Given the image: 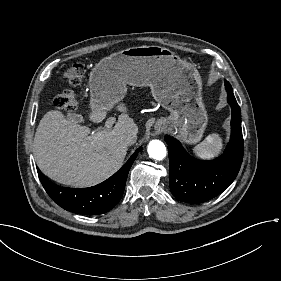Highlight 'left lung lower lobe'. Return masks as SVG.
Segmentation results:
<instances>
[{
  "label": "left lung lower lobe",
  "mask_w": 281,
  "mask_h": 281,
  "mask_svg": "<svg viewBox=\"0 0 281 281\" xmlns=\"http://www.w3.org/2000/svg\"><path fill=\"white\" fill-rule=\"evenodd\" d=\"M231 106V139L223 155L202 161L190 156L175 138L168 144L170 189L175 198L187 203H203L223 192L236 178L243 159L240 107L233 92H228Z\"/></svg>",
  "instance_id": "obj_1"
}]
</instances>
